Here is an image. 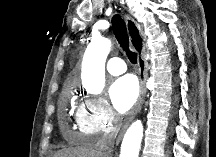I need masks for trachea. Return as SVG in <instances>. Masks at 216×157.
I'll return each mask as SVG.
<instances>
[{"label":"trachea","mask_w":216,"mask_h":157,"mask_svg":"<svg viewBox=\"0 0 216 157\" xmlns=\"http://www.w3.org/2000/svg\"><path fill=\"white\" fill-rule=\"evenodd\" d=\"M112 27L115 34L116 39L118 40L122 49L126 52L131 63H137V54L130 50L129 48V36L127 33V28L124 20L120 17V15L116 14L112 17ZM134 44L138 47L136 49L138 51L142 48V40L139 35V31L135 28L134 35L132 37Z\"/></svg>","instance_id":"1"}]
</instances>
